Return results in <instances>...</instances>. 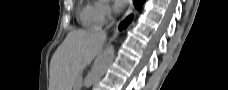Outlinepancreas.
Masks as SVG:
<instances>
[{"label":"pancreas","mask_w":228,"mask_h":90,"mask_svg":"<svg viewBox=\"0 0 228 90\" xmlns=\"http://www.w3.org/2000/svg\"><path fill=\"white\" fill-rule=\"evenodd\" d=\"M81 84H82V79L79 77L75 82V87L79 88L81 86Z\"/></svg>","instance_id":"1"}]
</instances>
